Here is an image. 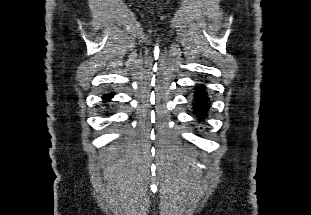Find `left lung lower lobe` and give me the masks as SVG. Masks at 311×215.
<instances>
[{
    "label": "left lung lower lobe",
    "mask_w": 311,
    "mask_h": 215,
    "mask_svg": "<svg viewBox=\"0 0 311 215\" xmlns=\"http://www.w3.org/2000/svg\"><path fill=\"white\" fill-rule=\"evenodd\" d=\"M205 91L202 88H196L194 109L199 118H204L206 110L208 109V98L205 97Z\"/></svg>",
    "instance_id": "1"
}]
</instances>
